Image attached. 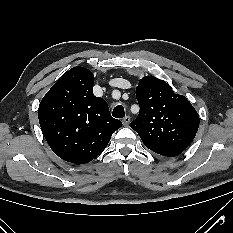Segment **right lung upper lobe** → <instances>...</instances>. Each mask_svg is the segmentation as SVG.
<instances>
[{
	"instance_id": "1",
	"label": "right lung upper lobe",
	"mask_w": 233,
	"mask_h": 233,
	"mask_svg": "<svg viewBox=\"0 0 233 233\" xmlns=\"http://www.w3.org/2000/svg\"><path fill=\"white\" fill-rule=\"evenodd\" d=\"M93 73L74 67L63 74L39 104L38 118L54 153L85 164L106 148L121 121L111 117L105 100L93 95Z\"/></svg>"
}]
</instances>
